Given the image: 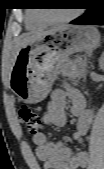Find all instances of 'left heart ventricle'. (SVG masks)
<instances>
[{"instance_id": "b2bd125f", "label": "left heart ventricle", "mask_w": 104, "mask_h": 169, "mask_svg": "<svg viewBox=\"0 0 104 169\" xmlns=\"http://www.w3.org/2000/svg\"><path fill=\"white\" fill-rule=\"evenodd\" d=\"M71 11H64V10H57V11H51L49 16L52 18H62L69 14Z\"/></svg>"}]
</instances>
